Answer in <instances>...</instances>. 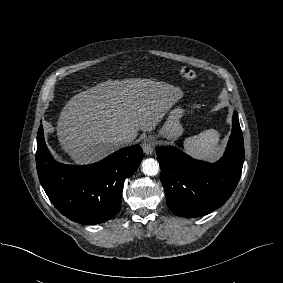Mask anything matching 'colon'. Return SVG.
<instances>
[{
  "instance_id": "1",
  "label": "colon",
  "mask_w": 283,
  "mask_h": 283,
  "mask_svg": "<svg viewBox=\"0 0 283 283\" xmlns=\"http://www.w3.org/2000/svg\"><path fill=\"white\" fill-rule=\"evenodd\" d=\"M178 71L180 75L186 80L195 81L197 79V74L189 67H178Z\"/></svg>"
}]
</instances>
